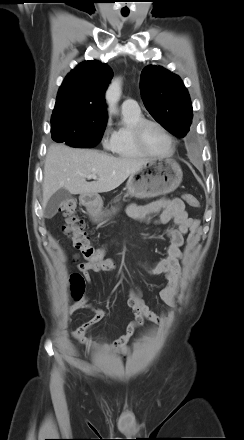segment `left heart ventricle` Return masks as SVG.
Returning a JSON list of instances; mask_svg holds the SVG:
<instances>
[{
    "label": "left heart ventricle",
    "instance_id": "obj_1",
    "mask_svg": "<svg viewBox=\"0 0 244 440\" xmlns=\"http://www.w3.org/2000/svg\"><path fill=\"white\" fill-rule=\"evenodd\" d=\"M143 141L148 151L154 154H165L171 145L167 136L156 126L148 125L143 131Z\"/></svg>",
    "mask_w": 244,
    "mask_h": 440
}]
</instances>
